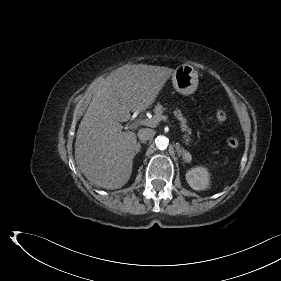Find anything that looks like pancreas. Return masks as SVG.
Segmentation results:
<instances>
[{
	"mask_svg": "<svg viewBox=\"0 0 281 281\" xmlns=\"http://www.w3.org/2000/svg\"><path fill=\"white\" fill-rule=\"evenodd\" d=\"M165 108L161 104H157L154 109V117L153 120L160 122L162 120V113L164 112ZM174 115L180 121V128L182 132H185L183 138L188 142L190 141V135L192 133L191 128L187 125V120L183 117V114L180 110H175Z\"/></svg>",
	"mask_w": 281,
	"mask_h": 281,
	"instance_id": "obj_1",
	"label": "pancreas"
}]
</instances>
